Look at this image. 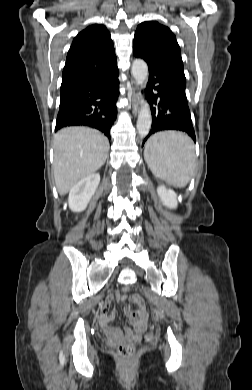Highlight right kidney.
I'll return each mask as SVG.
<instances>
[{
	"instance_id": "1",
	"label": "right kidney",
	"mask_w": 252,
	"mask_h": 390,
	"mask_svg": "<svg viewBox=\"0 0 252 390\" xmlns=\"http://www.w3.org/2000/svg\"><path fill=\"white\" fill-rule=\"evenodd\" d=\"M100 182V175L98 173L80 180L75 184L69 192L68 202L69 207L73 212H81L89 203L91 197L94 195Z\"/></svg>"
}]
</instances>
